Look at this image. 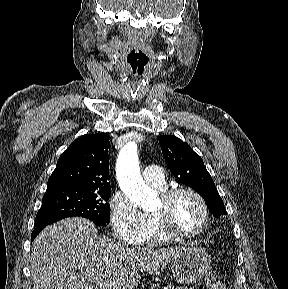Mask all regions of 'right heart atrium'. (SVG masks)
Wrapping results in <instances>:
<instances>
[{
	"label": "right heart atrium",
	"mask_w": 288,
	"mask_h": 289,
	"mask_svg": "<svg viewBox=\"0 0 288 289\" xmlns=\"http://www.w3.org/2000/svg\"><path fill=\"white\" fill-rule=\"evenodd\" d=\"M110 225L114 236L127 244H141L150 232V220L122 193L110 200Z\"/></svg>",
	"instance_id": "right-heart-atrium-1"
}]
</instances>
